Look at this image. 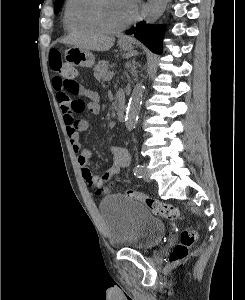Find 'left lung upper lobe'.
I'll return each mask as SVG.
<instances>
[{"label":"left lung upper lobe","mask_w":245,"mask_h":300,"mask_svg":"<svg viewBox=\"0 0 245 300\" xmlns=\"http://www.w3.org/2000/svg\"><path fill=\"white\" fill-rule=\"evenodd\" d=\"M64 0H56L55 1V5H54V13H59L61 7H62V4H63Z\"/></svg>","instance_id":"5c2ea615"}]
</instances>
